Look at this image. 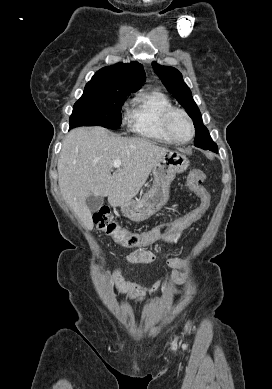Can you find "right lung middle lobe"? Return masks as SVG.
I'll return each instance as SVG.
<instances>
[{"label": "right lung middle lobe", "mask_w": 272, "mask_h": 389, "mask_svg": "<svg viewBox=\"0 0 272 389\" xmlns=\"http://www.w3.org/2000/svg\"><path fill=\"white\" fill-rule=\"evenodd\" d=\"M130 93L117 90L85 87L83 95L74 104L70 128L103 126L116 129L121 125V108Z\"/></svg>", "instance_id": "obj_1"}]
</instances>
